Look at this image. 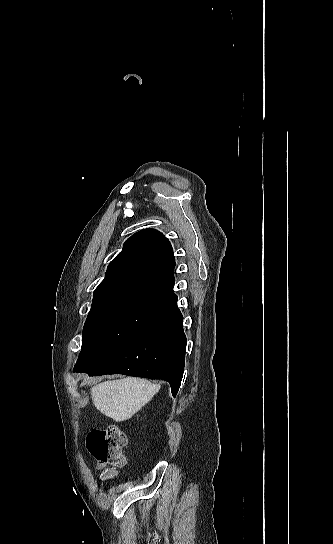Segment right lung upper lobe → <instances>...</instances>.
I'll list each match as a JSON object with an SVG mask.
<instances>
[{"mask_svg": "<svg viewBox=\"0 0 333 544\" xmlns=\"http://www.w3.org/2000/svg\"><path fill=\"white\" fill-rule=\"evenodd\" d=\"M175 259L169 240L155 229H143L125 243L110 262L93 303L122 298H149L173 303Z\"/></svg>", "mask_w": 333, "mask_h": 544, "instance_id": "1", "label": "right lung upper lobe"}]
</instances>
